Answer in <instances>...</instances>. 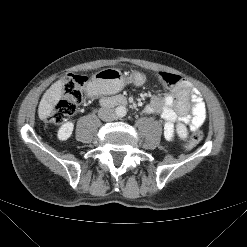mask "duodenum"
<instances>
[{"mask_svg":"<svg viewBox=\"0 0 247 247\" xmlns=\"http://www.w3.org/2000/svg\"><path fill=\"white\" fill-rule=\"evenodd\" d=\"M126 98L122 95L104 97L101 99V105L104 107H118L126 105Z\"/></svg>","mask_w":247,"mask_h":247,"instance_id":"410a0bca","label":"duodenum"}]
</instances>
